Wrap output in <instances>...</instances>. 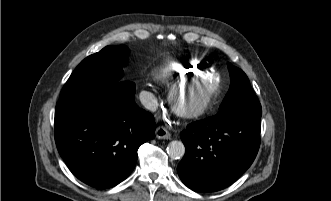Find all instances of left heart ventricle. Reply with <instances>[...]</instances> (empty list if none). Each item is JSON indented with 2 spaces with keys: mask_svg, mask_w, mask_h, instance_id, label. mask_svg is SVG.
<instances>
[{
  "mask_svg": "<svg viewBox=\"0 0 331 201\" xmlns=\"http://www.w3.org/2000/svg\"><path fill=\"white\" fill-rule=\"evenodd\" d=\"M206 92V85H187L176 92L175 99L179 105L187 107L196 104Z\"/></svg>",
  "mask_w": 331,
  "mask_h": 201,
  "instance_id": "1",
  "label": "left heart ventricle"
}]
</instances>
